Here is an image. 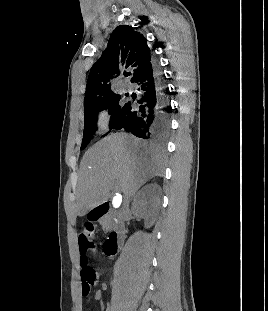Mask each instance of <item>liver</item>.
<instances>
[{"instance_id":"liver-1","label":"liver","mask_w":268,"mask_h":311,"mask_svg":"<svg viewBox=\"0 0 268 311\" xmlns=\"http://www.w3.org/2000/svg\"><path fill=\"white\" fill-rule=\"evenodd\" d=\"M164 158L158 150L124 133L111 134L91 147L80 163L75 213L82 217L106 202L116 184L126 198L149 179L162 176Z\"/></svg>"}]
</instances>
